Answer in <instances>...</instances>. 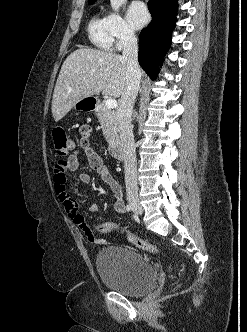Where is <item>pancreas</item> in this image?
I'll return each instance as SVG.
<instances>
[{
  "label": "pancreas",
  "mask_w": 247,
  "mask_h": 332,
  "mask_svg": "<svg viewBox=\"0 0 247 332\" xmlns=\"http://www.w3.org/2000/svg\"><path fill=\"white\" fill-rule=\"evenodd\" d=\"M96 114L102 127V132L110 144L118 143L119 128L117 123L116 112L107 108L104 102L100 103L96 108Z\"/></svg>",
  "instance_id": "1"
}]
</instances>
